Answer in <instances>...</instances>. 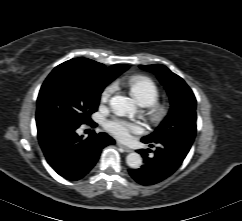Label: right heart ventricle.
<instances>
[{
    "mask_svg": "<svg viewBox=\"0 0 242 221\" xmlns=\"http://www.w3.org/2000/svg\"><path fill=\"white\" fill-rule=\"evenodd\" d=\"M130 92L143 106L154 104L160 95L159 89L155 82L145 76L130 78L127 82Z\"/></svg>",
    "mask_w": 242,
    "mask_h": 221,
    "instance_id": "1",
    "label": "right heart ventricle"
}]
</instances>
